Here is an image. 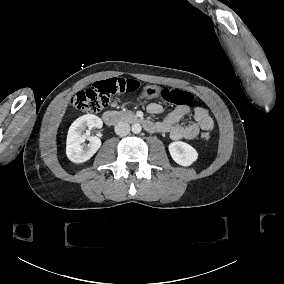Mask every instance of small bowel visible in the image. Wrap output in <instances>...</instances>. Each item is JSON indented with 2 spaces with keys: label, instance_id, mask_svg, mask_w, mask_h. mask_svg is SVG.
Here are the masks:
<instances>
[{
  "label": "small bowel",
  "instance_id": "obj_1",
  "mask_svg": "<svg viewBox=\"0 0 284 284\" xmlns=\"http://www.w3.org/2000/svg\"><path fill=\"white\" fill-rule=\"evenodd\" d=\"M117 105L116 102L111 104L112 107ZM163 110L158 103H151L147 106L149 114H159ZM192 115L193 122L188 125H178L177 123L188 116ZM214 128V120L204 107L190 108L186 105H179L174 108L168 116L158 122H150L147 129L150 132L167 133L173 140L187 139L191 140L197 137L200 131H211Z\"/></svg>",
  "mask_w": 284,
  "mask_h": 284
}]
</instances>
